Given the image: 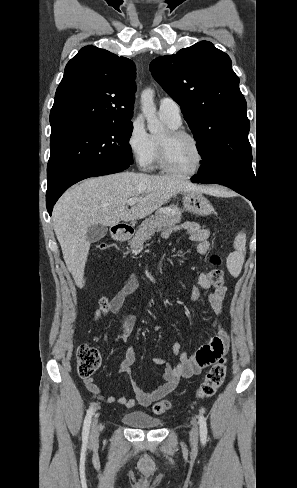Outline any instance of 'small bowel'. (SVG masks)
Returning a JSON list of instances; mask_svg holds the SVG:
<instances>
[{
    "mask_svg": "<svg viewBox=\"0 0 297 488\" xmlns=\"http://www.w3.org/2000/svg\"><path fill=\"white\" fill-rule=\"evenodd\" d=\"M176 231H183L187 234L190 241L197 243V252L200 254H207L210 249L208 241L209 231L202 228L198 223L186 221L178 226H170L162 233L163 238H168ZM139 288V282L136 276H131L124 286L117 292V294L109 302V311L112 313H119L126 302V300L135 294ZM203 291H209L203 294ZM226 289L224 286L215 287L210 277L206 273H201L197 281L190 286V297L193 301L205 300L213 312L211 320V332L207 342L203 344L193 355L188 352H180V344L174 343L172 345V352L178 357L176 364L172 365L165 359L155 357L152 359L154 365H163V382L152 391H142L134 381H130L131 388L134 392V397H117L105 396L102 394L100 386L95 383L94 378H83V382L89 392L96 395L98 400L111 404L118 403L128 408L139 406H148L155 401L172 393L181 378H191L201 374L206 368L216 363L226 351L229 338L223 329L221 317L223 314V301L225 298ZM104 319V313L97 311L95 320L100 321ZM122 331L119 336V343L126 345L125 357L119 365V372L127 374L130 367L135 362L136 356L133 347L127 343V338L133 333L136 328V318L133 315L125 314L122 316Z\"/></svg>",
    "mask_w": 297,
    "mask_h": 488,
    "instance_id": "1",
    "label": "small bowel"
}]
</instances>
